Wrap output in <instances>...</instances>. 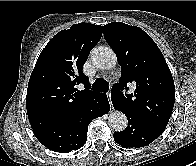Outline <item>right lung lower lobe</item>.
<instances>
[{
  "instance_id": "obj_1",
  "label": "right lung lower lobe",
  "mask_w": 196,
  "mask_h": 166,
  "mask_svg": "<svg viewBox=\"0 0 196 166\" xmlns=\"http://www.w3.org/2000/svg\"><path fill=\"white\" fill-rule=\"evenodd\" d=\"M110 110L107 96L102 94L87 104L75 119L49 127L33 130L36 138L48 149L67 153L82 147L87 140L91 120L101 117Z\"/></svg>"
}]
</instances>
